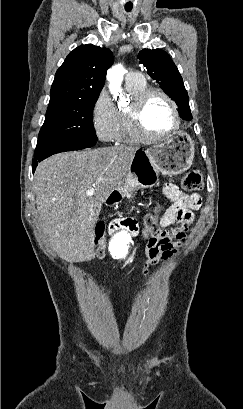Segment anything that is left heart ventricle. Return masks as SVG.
Segmentation results:
<instances>
[{
    "mask_svg": "<svg viewBox=\"0 0 243 409\" xmlns=\"http://www.w3.org/2000/svg\"><path fill=\"white\" fill-rule=\"evenodd\" d=\"M146 131L160 135L170 130L174 124L171 108L160 95H153L147 101L142 115Z\"/></svg>",
    "mask_w": 243,
    "mask_h": 409,
    "instance_id": "b2bd125f",
    "label": "left heart ventricle"
}]
</instances>
